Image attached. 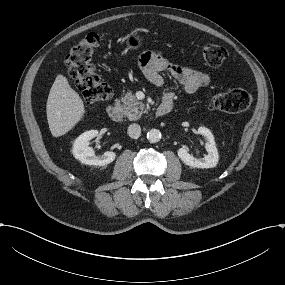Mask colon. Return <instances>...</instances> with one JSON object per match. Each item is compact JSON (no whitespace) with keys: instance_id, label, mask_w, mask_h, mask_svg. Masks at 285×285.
<instances>
[{"instance_id":"obj_1","label":"colon","mask_w":285,"mask_h":285,"mask_svg":"<svg viewBox=\"0 0 285 285\" xmlns=\"http://www.w3.org/2000/svg\"><path fill=\"white\" fill-rule=\"evenodd\" d=\"M100 40L99 33H89L71 48L65 59L70 75L84 99L91 105L107 100L112 95L110 86L101 80L93 64L94 51ZM202 54L208 65L216 67L226 59L227 50L216 44H207L203 46ZM251 103L252 96L243 89H229L210 97V104L214 108L227 113L245 111Z\"/></svg>"}]
</instances>
